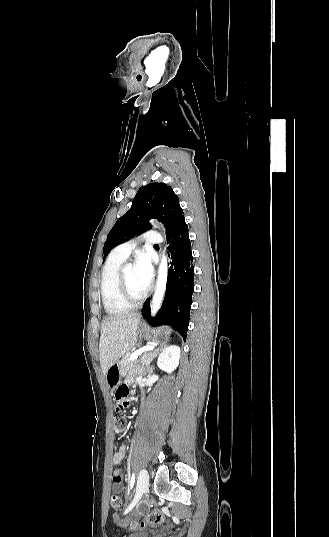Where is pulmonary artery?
Instances as JSON below:
<instances>
[{
	"mask_svg": "<svg viewBox=\"0 0 329 537\" xmlns=\"http://www.w3.org/2000/svg\"><path fill=\"white\" fill-rule=\"evenodd\" d=\"M163 241L161 235L156 231H148L143 235L142 242L148 245H158ZM136 243L132 241L124 242L113 249L115 256L126 259L135 248Z\"/></svg>",
	"mask_w": 329,
	"mask_h": 537,
	"instance_id": "pulmonary-artery-1",
	"label": "pulmonary artery"
}]
</instances>
